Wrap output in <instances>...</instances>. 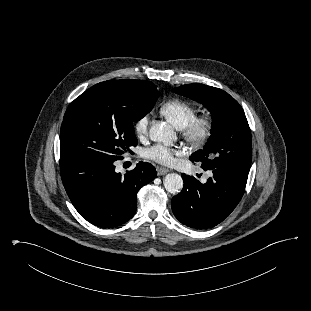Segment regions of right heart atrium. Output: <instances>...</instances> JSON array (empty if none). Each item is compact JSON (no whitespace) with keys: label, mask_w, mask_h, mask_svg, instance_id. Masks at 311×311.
<instances>
[{"label":"right heart atrium","mask_w":311,"mask_h":311,"mask_svg":"<svg viewBox=\"0 0 311 311\" xmlns=\"http://www.w3.org/2000/svg\"><path fill=\"white\" fill-rule=\"evenodd\" d=\"M149 117L142 115L133 124L134 132L138 137H144L148 132Z\"/></svg>","instance_id":"d8ad5b80"}]
</instances>
